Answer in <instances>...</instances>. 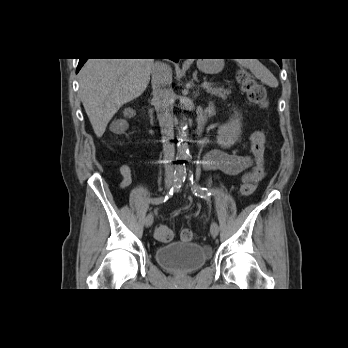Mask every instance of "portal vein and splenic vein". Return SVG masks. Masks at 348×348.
I'll return each instance as SVG.
<instances>
[{
  "instance_id": "18ae733b",
  "label": "portal vein and splenic vein",
  "mask_w": 348,
  "mask_h": 348,
  "mask_svg": "<svg viewBox=\"0 0 348 348\" xmlns=\"http://www.w3.org/2000/svg\"><path fill=\"white\" fill-rule=\"evenodd\" d=\"M201 86L204 87V88H207V87L211 86V84L208 83V82H204V83L201 84Z\"/></svg>"
}]
</instances>
